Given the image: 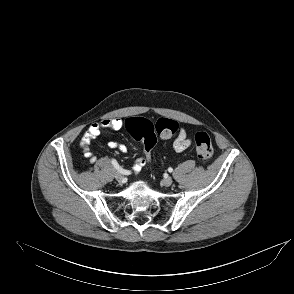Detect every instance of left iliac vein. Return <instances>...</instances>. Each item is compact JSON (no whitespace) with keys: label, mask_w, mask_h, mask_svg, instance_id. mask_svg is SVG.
I'll return each instance as SVG.
<instances>
[{"label":"left iliac vein","mask_w":294,"mask_h":294,"mask_svg":"<svg viewBox=\"0 0 294 294\" xmlns=\"http://www.w3.org/2000/svg\"><path fill=\"white\" fill-rule=\"evenodd\" d=\"M172 183H173V179L171 177H167L162 180V184L166 187L172 185Z\"/></svg>","instance_id":"obj_1"}]
</instances>
